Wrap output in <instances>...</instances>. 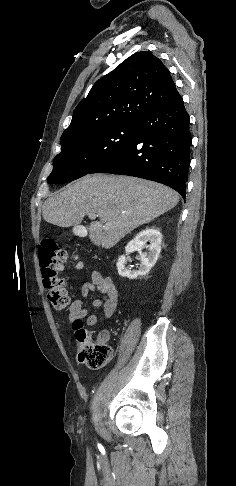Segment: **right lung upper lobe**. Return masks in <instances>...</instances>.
I'll use <instances>...</instances> for the list:
<instances>
[{
    "label": "right lung upper lobe",
    "instance_id": "right-lung-upper-lobe-1",
    "mask_svg": "<svg viewBox=\"0 0 236 486\" xmlns=\"http://www.w3.org/2000/svg\"><path fill=\"white\" fill-rule=\"evenodd\" d=\"M181 98L157 57L147 51L135 53L93 85L76 106L61 142L88 131L136 123L150 110Z\"/></svg>",
    "mask_w": 236,
    "mask_h": 486
}]
</instances>
